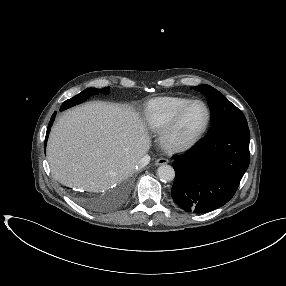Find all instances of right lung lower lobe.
<instances>
[{
  "instance_id": "obj_1",
  "label": "right lung lower lobe",
  "mask_w": 286,
  "mask_h": 286,
  "mask_svg": "<svg viewBox=\"0 0 286 286\" xmlns=\"http://www.w3.org/2000/svg\"><path fill=\"white\" fill-rule=\"evenodd\" d=\"M55 116H56V112L53 113V115H52V117H51V120H50V122H49V126H48V129H47V132H46L45 144H44L45 147H46L48 135H49L51 126H52V124H53V121H54V119H55Z\"/></svg>"
}]
</instances>
